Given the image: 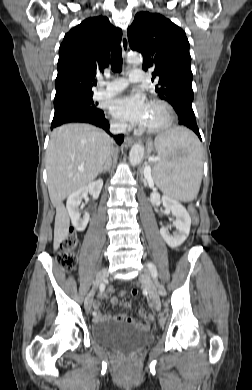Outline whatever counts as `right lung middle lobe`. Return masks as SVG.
<instances>
[{
	"label": "right lung middle lobe",
	"mask_w": 252,
	"mask_h": 390,
	"mask_svg": "<svg viewBox=\"0 0 252 390\" xmlns=\"http://www.w3.org/2000/svg\"><path fill=\"white\" fill-rule=\"evenodd\" d=\"M98 103H94L92 100V94L88 95H79L59 101H54V108L56 110L67 109V108H77L84 109L89 111L101 112L97 108Z\"/></svg>",
	"instance_id": "right-lung-middle-lobe-1"
}]
</instances>
